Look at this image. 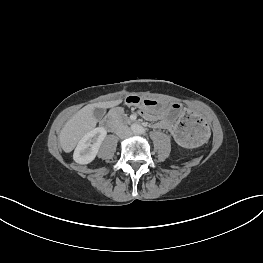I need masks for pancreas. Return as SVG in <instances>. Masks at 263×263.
Here are the masks:
<instances>
[{
  "instance_id": "cf45deb5",
  "label": "pancreas",
  "mask_w": 263,
  "mask_h": 263,
  "mask_svg": "<svg viewBox=\"0 0 263 263\" xmlns=\"http://www.w3.org/2000/svg\"><path fill=\"white\" fill-rule=\"evenodd\" d=\"M111 116L113 118V120L117 123V124H122V123H128L129 119L126 115H124L122 112H120L119 110H113L111 112Z\"/></svg>"
}]
</instances>
